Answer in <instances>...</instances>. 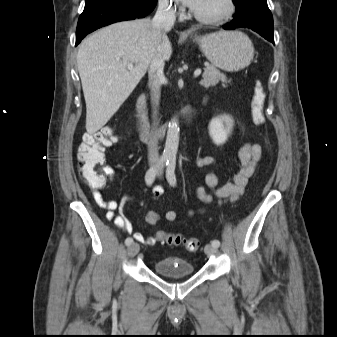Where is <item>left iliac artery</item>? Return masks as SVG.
<instances>
[{
    "label": "left iliac artery",
    "instance_id": "obj_1",
    "mask_svg": "<svg viewBox=\"0 0 337 337\" xmlns=\"http://www.w3.org/2000/svg\"><path fill=\"white\" fill-rule=\"evenodd\" d=\"M166 165H167V170H166L167 180L171 186H175L176 185V176H175L176 157L174 155L169 156ZM211 244L213 246L219 247L220 241L215 239L211 241Z\"/></svg>",
    "mask_w": 337,
    "mask_h": 337
}]
</instances>
